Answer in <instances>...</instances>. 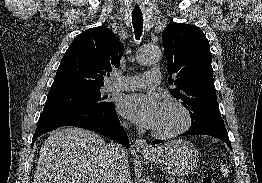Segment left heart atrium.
Instances as JSON below:
<instances>
[{"instance_id":"1","label":"left heart atrium","mask_w":262,"mask_h":183,"mask_svg":"<svg viewBox=\"0 0 262 183\" xmlns=\"http://www.w3.org/2000/svg\"><path fill=\"white\" fill-rule=\"evenodd\" d=\"M119 112L137 125L153 129L162 104L153 94L135 93L123 96L119 101Z\"/></svg>"}]
</instances>
